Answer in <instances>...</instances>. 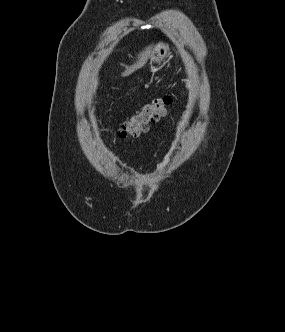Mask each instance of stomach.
Segmentation results:
<instances>
[{
    "label": "stomach",
    "mask_w": 285,
    "mask_h": 332,
    "mask_svg": "<svg viewBox=\"0 0 285 332\" xmlns=\"http://www.w3.org/2000/svg\"><path fill=\"white\" fill-rule=\"evenodd\" d=\"M169 55V46L163 42H159L154 47L151 60L160 64Z\"/></svg>",
    "instance_id": "0dacf381"
}]
</instances>
